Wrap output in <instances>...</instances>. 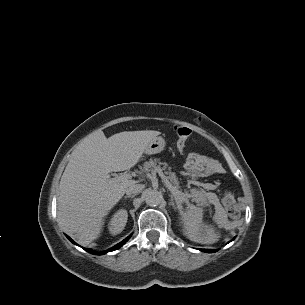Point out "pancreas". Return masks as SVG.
I'll return each instance as SVG.
<instances>
[{
	"instance_id": "1",
	"label": "pancreas",
	"mask_w": 305,
	"mask_h": 305,
	"mask_svg": "<svg viewBox=\"0 0 305 305\" xmlns=\"http://www.w3.org/2000/svg\"><path fill=\"white\" fill-rule=\"evenodd\" d=\"M162 166V167H161ZM155 169L167 170V178L170 180L171 185L174 187L175 192H178L179 182L174 172L171 171V167H168L167 163L160 162V159H150L143 164V172L154 171ZM180 197H183V194L178 192ZM192 200L195 201L200 206H206L208 203L209 193L204 190H191ZM186 199V198H185ZM182 201L181 199H179Z\"/></svg>"
}]
</instances>
